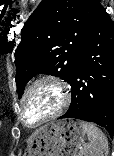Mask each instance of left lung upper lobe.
Instances as JSON below:
<instances>
[{
  "label": "left lung upper lobe",
  "instance_id": "1",
  "mask_svg": "<svg viewBox=\"0 0 114 156\" xmlns=\"http://www.w3.org/2000/svg\"><path fill=\"white\" fill-rule=\"evenodd\" d=\"M99 6L98 0H42L25 22L15 51L19 98L26 83L38 73L71 82L78 53Z\"/></svg>",
  "mask_w": 114,
  "mask_h": 156
}]
</instances>
